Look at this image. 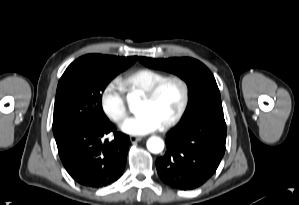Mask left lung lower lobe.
Wrapping results in <instances>:
<instances>
[{"label":"left lung lower lobe","instance_id":"0a47b994","mask_svg":"<svg viewBox=\"0 0 299 205\" xmlns=\"http://www.w3.org/2000/svg\"><path fill=\"white\" fill-rule=\"evenodd\" d=\"M226 123L223 111L181 121L167 133L165 155L156 161L161 180L176 189L191 190L216 171L224 153Z\"/></svg>","mask_w":299,"mask_h":205}]
</instances>
